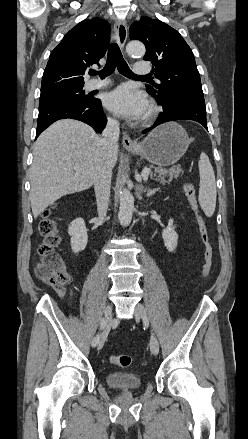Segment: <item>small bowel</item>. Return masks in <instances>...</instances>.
<instances>
[{
  "instance_id": "c3829d8e",
  "label": "small bowel",
  "mask_w": 248,
  "mask_h": 439,
  "mask_svg": "<svg viewBox=\"0 0 248 439\" xmlns=\"http://www.w3.org/2000/svg\"><path fill=\"white\" fill-rule=\"evenodd\" d=\"M36 272H37V275L39 276V278L43 281V282H45V283H47L46 281H45V279H43L42 277H41V275H40V273H39V269H38V267H37V269H36ZM48 284V283H47ZM52 286V285H51ZM54 289H55V291L57 292V294H58V296L60 297V298H64L65 297V295H66V289L63 287V286H52ZM69 297H70V299H71V302H73V300H74V290H73V288H70L69 289Z\"/></svg>"
}]
</instances>
